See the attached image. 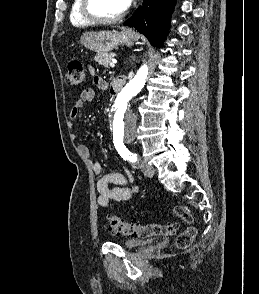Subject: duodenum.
I'll use <instances>...</instances> for the list:
<instances>
[{
    "label": "duodenum",
    "instance_id": "obj_1",
    "mask_svg": "<svg viewBox=\"0 0 259 294\" xmlns=\"http://www.w3.org/2000/svg\"><path fill=\"white\" fill-rule=\"evenodd\" d=\"M125 84V78L119 77L113 83V91L114 93H118Z\"/></svg>",
    "mask_w": 259,
    "mask_h": 294
}]
</instances>
